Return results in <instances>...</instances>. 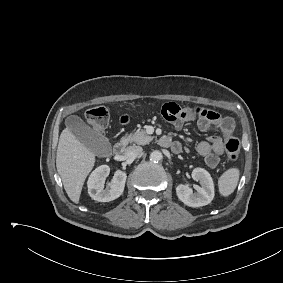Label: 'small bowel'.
<instances>
[{"mask_svg": "<svg viewBox=\"0 0 283 283\" xmlns=\"http://www.w3.org/2000/svg\"><path fill=\"white\" fill-rule=\"evenodd\" d=\"M163 117L172 123L176 130H181L188 121H196L198 128L203 132L217 131L221 134L232 133L235 127L234 120L223 116L220 113L195 107H181L176 103L170 102L164 104L162 108ZM121 123H127L129 116L124 114L120 117ZM171 141V148L174 152H180L182 149L178 141ZM197 152L204 158L206 165L215 168L220 161V156L224 152L222 139L218 135H210L207 140L197 145Z\"/></svg>", "mask_w": 283, "mask_h": 283, "instance_id": "1", "label": "small bowel"}]
</instances>
